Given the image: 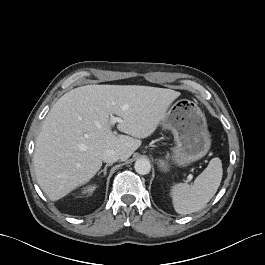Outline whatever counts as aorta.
<instances>
[{
	"label": "aorta",
	"instance_id": "1",
	"mask_svg": "<svg viewBox=\"0 0 265 265\" xmlns=\"http://www.w3.org/2000/svg\"><path fill=\"white\" fill-rule=\"evenodd\" d=\"M135 171L140 175H146L151 170V164L147 159L141 158L134 164Z\"/></svg>",
	"mask_w": 265,
	"mask_h": 265
}]
</instances>
